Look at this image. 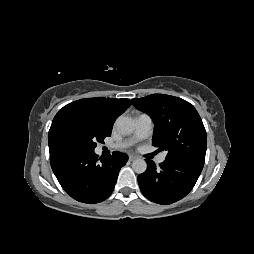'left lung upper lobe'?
<instances>
[{"label":"left lung upper lobe","mask_w":254,"mask_h":254,"mask_svg":"<svg viewBox=\"0 0 254 254\" xmlns=\"http://www.w3.org/2000/svg\"><path fill=\"white\" fill-rule=\"evenodd\" d=\"M132 103L152 118L155 124L152 144L168 152L166 159L205 162L206 130L192 104L165 94L134 98Z\"/></svg>","instance_id":"obj_1"}]
</instances>
